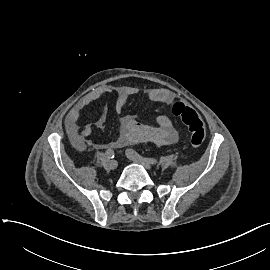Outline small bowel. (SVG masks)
Here are the masks:
<instances>
[{"instance_id":"1","label":"small bowel","mask_w":270,"mask_h":270,"mask_svg":"<svg viewBox=\"0 0 270 270\" xmlns=\"http://www.w3.org/2000/svg\"><path fill=\"white\" fill-rule=\"evenodd\" d=\"M135 89L132 87L101 86L86 94L68 113L66 118V130L70 137L77 141H84L92 133V125H80L79 120L83 111L99 98L115 93L117 95L114 110L121 114ZM151 102L170 104L174 94L168 89H151L146 93ZM107 111L104 110L96 120L95 125L104 129ZM179 139V133L173 121L168 116H159L155 119V125H146L138 122L134 116L126 114L120 120L119 136L112 142L101 145V148H122L137 143H153L158 146L175 144Z\"/></svg>"}]
</instances>
